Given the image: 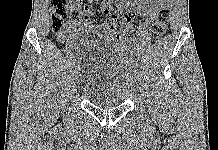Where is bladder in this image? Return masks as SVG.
<instances>
[{
  "label": "bladder",
  "mask_w": 218,
  "mask_h": 150,
  "mask_svg": "<svg viewBox=\"0 0 218 150\" xmlns=\"http://www.w3.org/2000/svg\"><path fill=\"white\" fill-rule=\"evenodd\" d=\"M83 64L77 69L82 95L94 106L113 108L129 97L134 75L120 45L102 32L94 31L83 40Z\"/></svg>",
  "instance_id": "bladder-1"
}]
</instances>
